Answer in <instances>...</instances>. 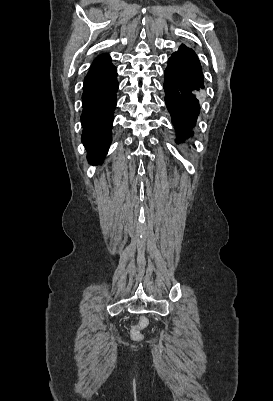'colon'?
Listing matches in <instances>:
<instances>
[{"mask_svg":"<svg viewBox=\"0 0 273 401\" xmlns=\"http://www.w3.org/2000/svg\"><path fill=\"white\" fill-rule=\"evenodd\" d=\"M150 325V322L148 319H141L138 322V327H135L134 329H131L129 331V336L132 342H141L145 339V336L141 334L140 328H148Z\"/></svg>","mask_w":273,"mask_h":401,"instance_id":"colon-1","label":"colon"}]
</instances>
